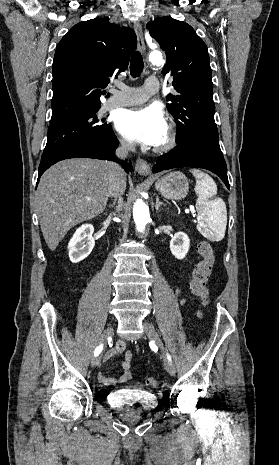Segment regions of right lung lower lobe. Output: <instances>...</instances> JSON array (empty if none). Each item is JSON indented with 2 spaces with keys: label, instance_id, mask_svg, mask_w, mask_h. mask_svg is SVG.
Segmentation results:
<instances>
[{
  "label": "right lung lower lobe",
  "instance_id": "obj_1",
  "mask_svg": "<svg viewBox=\"0 0 279 465\" xmlns=\"http://www.w3.org/2000/svg\"><path fill=\"white\" fill-rule=\"evenodd\" d=\"M118 144L119 142L114 133L98 140L82 139L71 143L55 152L50 157L41 160L38 181L44 171H46L51 165L64 159L85 157L117 161V158L114 156V152L118 147ZM122 165L127 173L132 171V165L130 162H122Z\"/></svg>",
  "mask_w": 279,
  "mask_h": 465
}]
</instances>
